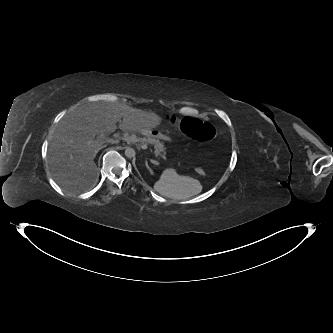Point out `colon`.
Returning <instances> with one entry per match:
<instances>
[{
  "label": "colon",
  "mask_w": 333,
  "mask_h": 333,
  "mask_svg": "<svg viewBox=\"0 0 333 333\" xmlns=\"http://www.w3.org/2000/svg\"><path fill=\"white\" fill-rule=\"evenodd\" d=\"M160 123L171 130L181 128L185 135L200 142L213 141L218 135L217 129L209 122L192 117L181 119L178 115H173L171 112H164L160 116ZM196 172L199 175L204 174L202 169H197Z\"/></svg>",
  "instance_id": "1"
}]
</instances>
